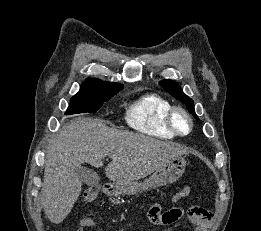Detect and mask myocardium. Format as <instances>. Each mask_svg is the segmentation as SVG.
Returning <instances> with one entry per match:
<instances>
[{"label": "myocardium", "mask_w": 261, "mask_h": 231, "mask_svg": "<svg viewBox=\"0 0 261 231\" xmlns=\"http://www.w3.org/2000/svg\"><path fill=\"white\" fill-rule=\"evenodd\" d=\"M177 115H183L187 119V121L189 123V129L186 132H181L178 129V127L176 125ZM166 122H167V126H168L169 130L173 134H175L176 136H179V137L187 136L193 130V119H192L190 113L181 106H172L170 108V110L167 113Z\"/></svg>", "instance_id": "1"}]
</instances>
